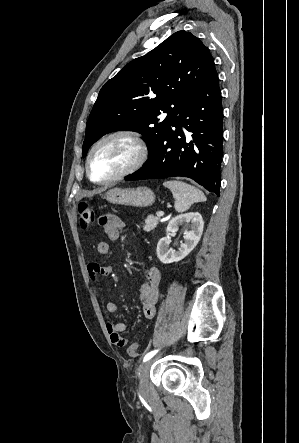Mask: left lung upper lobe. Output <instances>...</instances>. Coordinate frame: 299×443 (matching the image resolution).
<instances>
[{
  "label": "left lung upper lobe",
  "instance_id": "obj_1",
  "mask_svg": "<svg viewBox=\"0 0 299 443\" xmlns=\"http://www.w3.org/2000/svg\"><path fill=\"white\" fill-rule=\"evenodd\" d=\"M214 69L209 49L185 31L131 61L101 88L87 121L83 157L95 141L116 130L141 133L150 155ZM161 112L168 113L165 119L158 118Z\"/></svg>",
  "mask_w": 299,
  "mask_h": 443
}]
</instances>
